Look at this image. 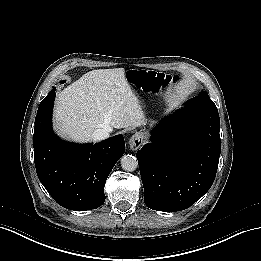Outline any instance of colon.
Wrapping results in <instances>:
<instances>
[{
  "label": "colon",
  "mask_w": 261,
  "mask_h": 261,
  "mask_svg": "<svg viewBox=\"0 0 261 261\" xmlns=\"http://www.w3.org/2000/svg\"><path fill=\"white\" fill-rule=\"evenodd\" d=\"M141 86L149 92L158 94L165 91V85L168 82L166 76L154 71H137L135 73Z\"/></svg>",
  "instance_id": "1"
}]
</instances>
